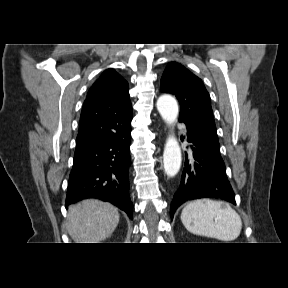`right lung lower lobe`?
Instances as JSON below:
<instances>
[{
    "label": "right lung lower lobe",
    "instance_id": "98d812e1",
    "mask_svg": "<svg viewBox=\"0 0 288 288\" xmlns=\"http://www.w3.org/2000/svg\"><path fill=\"white\" fill-rule=\"evenodd\" d=\"M131 127L79 155H74L65 206L85 198H99L133 218L129 195Z\"/></svg>",
    "mask_w": 288,
    "mask_h": 288
}]
</instances>
